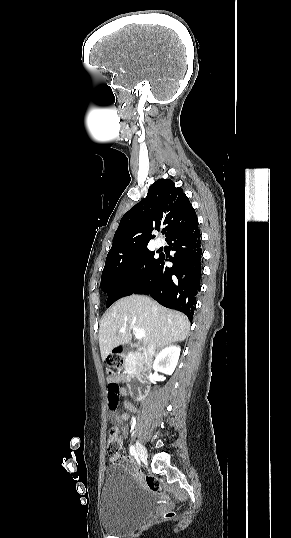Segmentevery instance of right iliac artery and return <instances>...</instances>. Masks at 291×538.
<instances>
[{
    "label": "right iliac artery",
    "instance_id": "right-iliac-artery-1",
    "mask_svg": "<svg viewBox=\"0 0 291 538\" xmlns=\"http://www.w3.org/2000/svg\"><path fill=\"white\" fill-rule=\"evenodd\" d=\"M129 451H130V455H131V456H135V455H136V451H135V447H134V446L131 445L130 448H129Z\"/></svg>",
    "mask_w": 291,
    "mask_h": 538
}]
</instances>
